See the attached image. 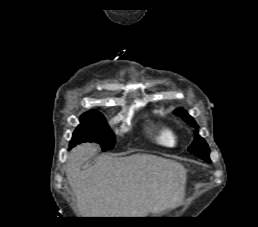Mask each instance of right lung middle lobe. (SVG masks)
<instances>
[{
	"mask_svg": "<svg viewBox=\"0 0 258 227\" xmlns=\"http://www.w3.org/2000/svg\"><path fill=\"white\" fill-rule=\"evenodd\" d=\"M80 123L73 133L70 141L71 147L81 142L93 141L100 144L103 151L113 148L115 136L100 112L92 110L84 113L80 118Z\"/></svg>",
	"mask_w": 258,
	"mask_h": 227,
	"instance_id": "dd1d6c3e",
	"label": "right lung middle lobe"
}]
</instances>
